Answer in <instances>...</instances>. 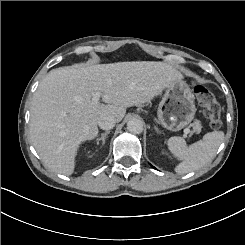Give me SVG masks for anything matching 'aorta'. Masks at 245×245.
<instances>
[{
  "mask_svg": "<svg viewBox=\"0 0 245 245\" xmlns=\"http://www.w3.org/2000/svg\"><path fill=\"white\" fill-rule=\"evenodd\" d=\"M127 129L133 134H140L143 131V122L138 118H132L127 122Z\"/></svg>",
  "mask_w": 245,
  "mask_h": 245,
  "instance_id": "762f6f07",
  "label": "aorta"
}]
</instances>
